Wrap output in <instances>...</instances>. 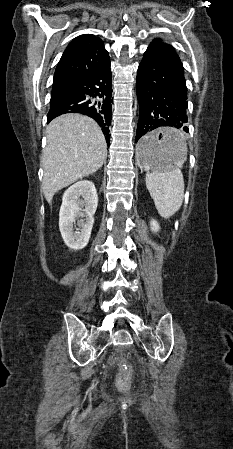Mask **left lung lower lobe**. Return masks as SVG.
<instances>
[{"mask_svg":"<svg viewBox=\"0 0 233 449\" xmlns=\"http://www.w3.org/2000/svg\"><path fill=\"white\" fill-rule=\"evenodd\" d=\"M136 87L140 106L136 142L140 139L141 148L148 151L177 145L179 136H153V133L158 127H176L188 132L183 67L148 47L138 68Z\"/></svg>","mask_w":233,"mask_h":449,"instance_id":"left-lung-lower-lobe-1","label":"left lung lower lobe"}]
</instances>
